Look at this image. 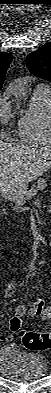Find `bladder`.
<instances>
[{"instance_id":"bladder-1","label":"bladder","mask_w":51,"mask_h":393,"mask_svg":"<svg viewBox=\"0 0 51 393\" xmlns=\"http://www.w3.org/2000/svg\"><path fill=\"white\" fill-rule=\"evenodd\" d=\"M0 370L7 378L32 381L43 378L49 365L43 354L8 344L0 349Z\"/></svg>"}]
</instances>
